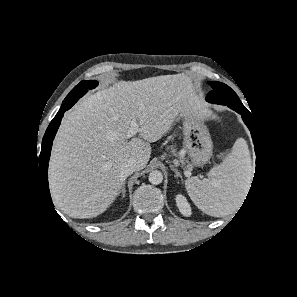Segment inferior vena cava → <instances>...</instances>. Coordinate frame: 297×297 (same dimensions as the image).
<instances>
[{"label": "inferior vena cava", "mask_w": 297, "mask_h": 297, "mask_svg": "<svg viewBox=\"0 0 297 297\" xmlns=\"http://www.w3.org/2000/svg\"><path fill=\"white\" fill-rule=\"evenodd\" d=\"M139 169V166L137 165L136 161L133 159H130L122 164L121 166V173L123 176L127 177L133 172L137 171Z\"/></svg>", "instance_id": "602c4592"}]
</instances>
